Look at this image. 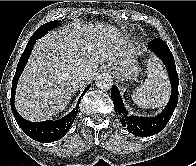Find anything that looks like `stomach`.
<instances>
[{
    "label": "stomach",
    "instance_id": "stomach-1",
    "mask_svg": "<svg viewBox=\"0 0 196 166\" xmlns=\"http://www.w3.org/2000/svg\"><path fill=\"white\" fill-rule=\"evenodd\" d=\"M110 68L116 75H119L124 79H134L138 75V66L133 56L117 58L112 62Z\"/></svg>",
    "mask_w": 196,
    "mask_h": 166
}]
</instances>
